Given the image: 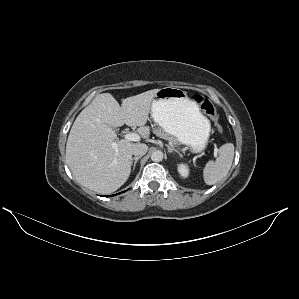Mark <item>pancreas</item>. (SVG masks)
<instances>
[{
    "label": "pancreas",
    "mask_w": 299,
    "mask_h": 299,
    "mask_svg": "<svg viewBox=\"0 0 299 299\" xmlns=\"http://www.w3.org/2000/svg\"><path fill=\"white\" fill-rule=\"evenodd\" d=\"M154 134L162 139L167 140L171 145H176L178 141L173 136H170L169 134L165 133L161 129H154Z\"/></svg>",
    "instance_id": "1"
}]
</instances>
